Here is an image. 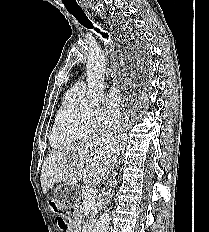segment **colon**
Masks as SVG:
<instances>
[{
  "label": "colon",
  "instance_id": "1",
  "mask_svg": "<svg viewBox=\"0 0 209 232\" xmlns=\"http://www.w3.org/2000/svg\"><path fill=\"white\" fill-rule=\"evenodd\" d=\"M48 205L49 206H54L55 205V202L54 201H49L48 202ZM53 210L54 211H57L58 210V207L57 206H54L53 207ZM57 220H58V223L60 225V227L62 228H66L67 225L69 224L70 222V215L68 212L66 211H63V212H60L58 217H57Z\"/></svg>",
  "mask_w": 209,
  "mask_h": 232
}]
</instances>
